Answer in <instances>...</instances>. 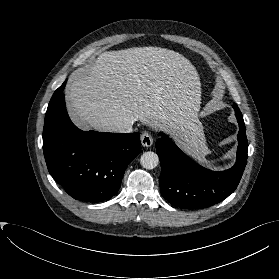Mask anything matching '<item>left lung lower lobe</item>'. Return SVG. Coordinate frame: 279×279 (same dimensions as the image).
Here are the masks:
<instances>
[{"mask_svg":"<svg viewBox=\"0 0 279 279\" xmlns=\"http://www.w3.org/2000/svg\"><path fill=\"white\" fill-rule=\"evenodd\" d=\"M239 124L237 160L225 171L208 170L190 159L175 143L161 133L156 142L160 159V190L173 206L204 209L227 198L237 188L247 162L248 142L243 117Z\"/></svg>","mask_w":279,"mask_h":279,"instance_id":"1","label":"left lung lower lobe"}]
</instances>
